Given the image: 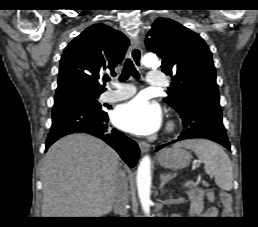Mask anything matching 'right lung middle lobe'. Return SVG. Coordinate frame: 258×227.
Instances as JSON below:
<instances>
[{"instance_id":"dd1d6c3e","label":"right lung middle lobe","mask_w":258,"mask_h":227,"mask_svg":"<svg viewBox=\"0 0 258 227\" xmlns=\"http://www.w3.org/2000/svg\"><path fill=\"white\" fill-rule=\"evenodd\" d=\"M101 92L86 90V89H68L61 92H56L54 98V107L63 104H77L93 112H103L101 105L98 102V97Z\"/></svg>"}]
</instances>
